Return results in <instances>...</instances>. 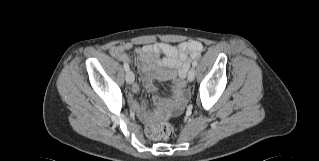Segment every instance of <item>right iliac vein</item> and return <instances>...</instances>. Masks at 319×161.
<instances>
[{
	"label": "right iliac vein",
	"mask_w": 319,
	"mask_h": 161,
	"mask_svg": "<svg viewBox=\"0 0 319 161\" xmlns=\"http://www.w3.org/2000/svg\"><path fill=\"white\" fill-rule=\"evenodd\" d=\"M133 81H134V74H133V72H132L131 70H128V71L126 72V82H127L128 84H132Z\"/></svg>",
	"instance_id": "63e3f726"
}]
</instances>
